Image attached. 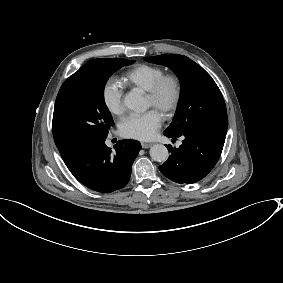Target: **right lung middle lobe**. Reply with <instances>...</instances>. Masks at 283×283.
<instances>
[{
    "label": "right lung middle lobe",
    "instance_id": "1",
    "mask_svg": "<svg viewBox=\"0 0 283 283\" xmlns=\"http://www.w3.org/2000/svg\"><path fill=\"white\" fill-rule=\"evenodd\" d=\"M134 60L94 59L83 65L62 85L53 114L56 145L81 149L106 138L114 125L104 101V88L109 77Z\"/></svg>",
    "mask_w": 283,
    "mask_h": 283
}]
</instances>
